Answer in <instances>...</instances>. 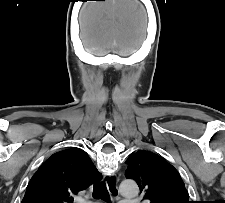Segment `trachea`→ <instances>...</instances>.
I'll return each instance as SVG.
<instances>
[{"instance_id":"1","label":"trachea","mask_w":225,"mask_h":203,"mask_svg":"<svg viewBox=\"0 0 225 203\" xmlns=\"http://www.w3.org/2000/svg\"><path fill=\"white\" fill-rule=\"evenodd\" d=\"M93 196L105 202H109L110 196L106 184L103 182L95 183L93 186Z\"/></svg>"}]
</instances>
